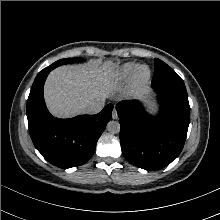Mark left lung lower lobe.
<instances>
[{"mask_svg": "<svg viewBox=\"0 0 220 220\" xmlns=\"http://www.w3.org/2000/svg\"><path fill=\"white\" fill-rule=\"evenodd\" d=\"M160 113L148 116L138 101L116 105L120 122V142L124 157L136 167L153 171L175 160L183 149L190 120L187 93L154 88Z\"/></svg>", "mask_w": 220, "mask_h": 220, "instance_id": "left-lung-lower-lobe-1", "label": "left lung lower lobe"}]
</instances>
